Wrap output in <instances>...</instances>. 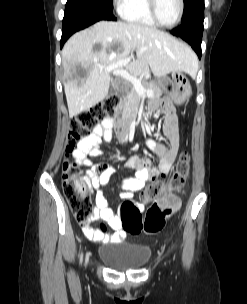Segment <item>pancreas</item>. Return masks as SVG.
I'll return each mask as SVG.
<instances>
[{
  "label": "pancreas",
  "instance_id": "cf45deb5",
  "mask_svg": "<svg viewBox=\"0 0 247 304\" xmlns=\"http://www.w3.org/2000/svg\"><path fill=\"white\" fill-rule=\"evenodd\" d=\"M145 87L147 90H152L154 93L153 98H158L162 95V89L157 82L150 81L145 82ZM141 103V96L132 89L126 97H124L121 105L124 107L125 110L129 111L132 115L137 114L139 111Z\"/></svg>",
  "mask_w": 247,
  "mask_h": 304
}]
</instances>
